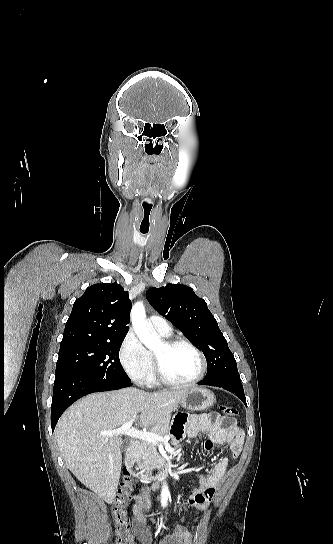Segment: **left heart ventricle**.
<instances>
[{
    "label": "left heart ventricle",
    "instance_id": "obj_1",
    "mask_svg": "<svg viewBox=\"0 0 333 544\" xmlns=\"http://www.w3.org/2000/svg\"><path fill=\"white\" fill-rule=\"evenodd\" d=\"M154 354L159 358L165 375L173 381H189L200 371L201 363L198 355L187 346L167 348L161 343Z\"/></svg>",
    "mask_w": 333,
    "mask_h": 544
}]
</instances>
